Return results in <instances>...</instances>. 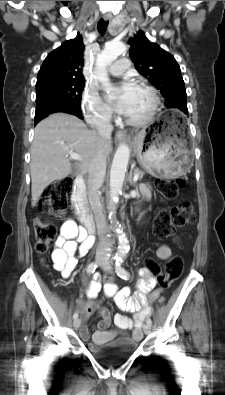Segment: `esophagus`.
<instances>
[{"label": "esophagus", "instance_id": "obj_1", "mask_svg": "<svg viewBox=\"0 0 225 395\" xmlns=\"http://www.w3.org/2000/svg\"><path fill=\"white\" fill-rule=\"evenodd\" d=\"M103 18H104V20L108 21V20L112 19V15L109 14V13L108 14H104ZM127 137H128L127 136V132L124 131V130H119L115 134V138L118 139V140L127 139Z\"/></svg>", "mask_w": 225, "mask_h": 395}]
</instances>
